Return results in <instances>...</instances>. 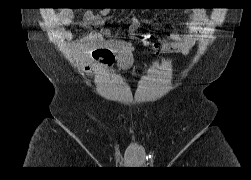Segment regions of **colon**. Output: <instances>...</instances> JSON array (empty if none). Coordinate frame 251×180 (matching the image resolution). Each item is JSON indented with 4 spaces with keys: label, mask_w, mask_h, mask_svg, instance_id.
I'll use <instances>...</instances> for the list:
<instances>
[{
    "label": "colon",
    "mask_w": 251,
    "mask_h": 180,
    "mask_svg": "<svg viewBox=\"0 0 251 180\" xmlns=\"http://www.w3.org/2000/svg\"><path fill=\"white\" fill-rule=\"evenodd\" d=\"M152 46H153V48H154V49H156V48H157V46H156V45H154V44H153Z\"/></svg>",
    "instance_id": "5ec220e1"
}]
</instances>
